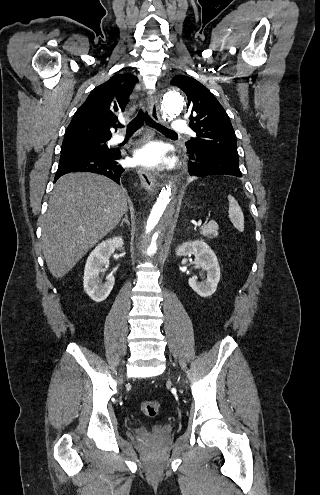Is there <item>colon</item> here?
Listing matches in <instances>:
<instances>
[{
	"label": "colon",
	"instance_id": "obj_1",
	"mask_svg": "<svg viewBox=\"0 0 320 495\" xmlns=\"http://www.w3.org/2000/svg\"><path fill=\"white\" fill-rule=\"evenodd\" d=\"M141 411L148 417H155L158 415L161 403L158 400L145 401L140 406Z\"/></svg>",
	"mask_w": 320,
	"mask_h": 495
}]
</instances>
